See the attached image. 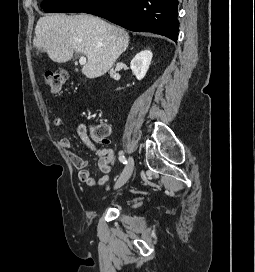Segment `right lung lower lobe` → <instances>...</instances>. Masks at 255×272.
Instances as JSON below:
<instances>
[{"label": "right lung lower lobe", "instance_id": "obj_1", "mask_svg": "<svg viewBox=\"0 0 255 272\" xmlns=\"http://www.w3.org/2000/svg\"><path fill=\"white\" fill-rule=\"evenodd\" d=\"M177 11L178 0H98L83 12L131 31L153 32L177 42Z\"/></svg>", "mask_w": 255, "mask_h": 272}]
</instances>
